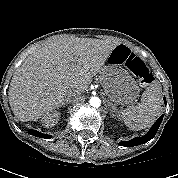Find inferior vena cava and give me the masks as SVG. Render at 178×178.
Instances as JSON below:
<instances>
[{
  "mask_svg": "<svg viewBox=\"0 0 178 178\" xmlns=\"http://www.w3.org/2000/svg\"><path fill=\"white\" fill-rule=\"evenodd\" d=\"M77 94H80V91L77 90V89H74V90L71 91L70 97H71V96H75V95H77Z\"/></svg>",
  "mask_w": 178,
  "mask_h": 178,
  "instance_id": "602c4592",
  "label": "inferior vena cava"
}]
</instances>
